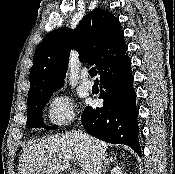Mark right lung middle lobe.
<instances>
[{
    "label": "right lung middle lobe",
    "instance_id": "dd1d6c3e",
    "mask_svg": "<svg viewBox=\"0 0 175 174\" xmlns=\"http://www.w3.org/2000/svg\"><path fill=\"white\" fill-rule=\"evenodd\" d=\"M50 95L51 94H47L28 102L27 127L29 129L44 127V124L41 121L42 110L45 104L48 102ZM56 128L57 126L46 127V129H56Z\"/></svg>",
    "mask_w": 175,
    "mask_h": 174
}]
</instances>
